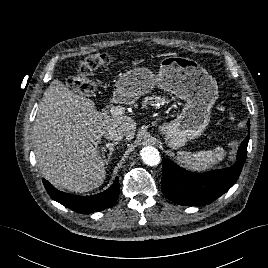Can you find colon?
Listing matches in <instances>:
<instances>
[{"instance_id": "1", "label": "colon", "mask_w": 268, "mask_h": 268, "mask_svg": "<svg viewBox=\"0 0 268 268\" xmlns=\"http://www.w3.org/2000/svg\"><path fill=\"white\" fill-rule=\"evenodd\" d=\"M109 62L110 57L106 53H93L86 56L80 61L77 72L68 78V86L84 97L93 98L96 92V85L91 75L94 71L105 67Z\"/></svg>"}]
</instances>
